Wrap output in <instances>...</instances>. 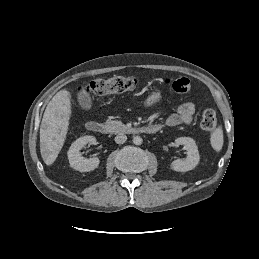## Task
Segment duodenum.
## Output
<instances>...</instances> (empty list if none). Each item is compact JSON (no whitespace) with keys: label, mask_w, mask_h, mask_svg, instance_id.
<instances>
[{"label":"duodenum","mask_w":259,"mask_h":259,"mask_svg":"<svg viewBox=\"0 0 259 259\" xmlns=\"http://www.w3.org/2000/svg\"><path fill=\"white\" fill-rule=\"evenodd\" d=\"M86 127L89 131L93 133H98V134H105L107 133V127L101 122L98 121H89L86 124ZM159 130V125L157 124H149V125H144L141 127H137L132 129V132L134 133H143V134H154Z\"/></svg>","instance_id":"duodenum-1"}]
</instances>
